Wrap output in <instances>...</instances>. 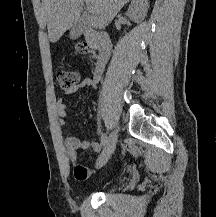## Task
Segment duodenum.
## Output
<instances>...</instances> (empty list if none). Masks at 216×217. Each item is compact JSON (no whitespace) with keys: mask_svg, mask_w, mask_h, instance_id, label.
Returning a JSON list of instances; mask_svg holds the SVG:
<instances>
[{"mask_svg":"<svg viewBox=\"0 0 216 217\" xmlns=\"http://www.w3.org/2000/svg\"><path fill=\"white\" fill-rule=\"evenodd\" d=\"M85 37L91 45L98 46L99 51L96 56V66L93 70V74L103 71L106 62L110 55V40L106 33L97 31L95 29H86Z\"/></svg>","mask_w":216,"mask_h":217,"instance_id":"obj_1","label":"duodenum"}]
</instances>
